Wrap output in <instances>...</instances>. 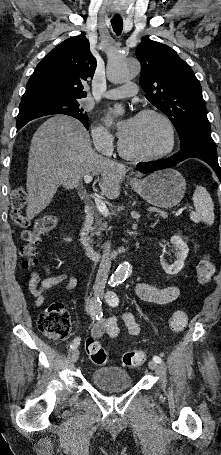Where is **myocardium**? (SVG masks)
<instances>
[{
  "instance_id": "obj_1",
  "label": "myocardium",
  "mask_w": 221,
  "mask_h": 455,
  "mask_svg": "<svg viewBox=\"0 0 221 455\" xmlns=\"http://www.w3.org/2000/svg\"><path fill=\"white\" fill-rule=\"evenodd\" d=\"M146 116H154L157 119H159L164 125L168 138L166 146L161 150L153 153L139 154L127 150L122 142V139H119L118 151L123 157L134 161H152L163 158L173 151L176 143V135L175 128L171 120L164 113L153 108L143 109L139 111L135 117L140 118Z\"/></svg>"
}]
</instances>
